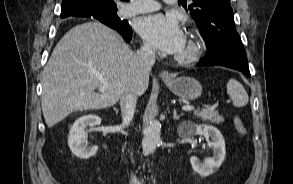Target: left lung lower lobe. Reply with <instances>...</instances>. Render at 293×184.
<instances>
[{
  "instance_id": "obj_1",
  "label": "left lung lower lobe",
  "mask_w": 293,
  "mask_h": 184,
  "mask_svg": "<svg viewBox=\"0 0 293 184\" xmlns=\"http://www.w3.org/2000/svg\"><path fill=\"white\" fill-rule=\"evenodd\" d=\"M222 65L242 71L250 77L247 56L238 33L221 38L216 52H208L198 66Z\"/></svg>"
}]
</instances>
